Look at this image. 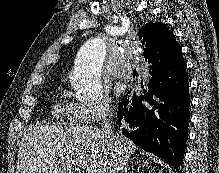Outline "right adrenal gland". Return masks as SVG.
<instances>
[{"label":"right adrenal gland","instance_id":"right-adrenal-gland-1","mask_svg":"<svg viewBox=\"0 0 219 173\" xmlns=\"http://www.w3.org/2000/svg\"><path fill=\"white\" fill-rule=\"evenodd\" d=\"M119 170H120V173H132V172L130 171L129 166H128L127 164L121 166Z\"/></svg>","mask_w":219,"mask_h":173}]
</instances>
